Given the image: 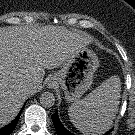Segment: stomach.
I'll use <instances>...</instances> for the list:
<instances>
[{
	"label": "stomach",
	"mask_w": 135,
	"mask_h": 135,
	"mask_svg": "<svg viewBox=\"0 0 135 135\" xmlns=\"http://www.w3.org/2000/svg\"><path fill=\"white\" fill-rule=\"evenodd\" d=\"M98 67V56L93 50L84 47L63 63L61 70L51 78L49 86L60 87L66 101L77 103L92 85Z\"/></svg>",
	"instance_id": "stomach-1"
}]
</instances>
